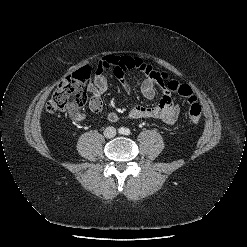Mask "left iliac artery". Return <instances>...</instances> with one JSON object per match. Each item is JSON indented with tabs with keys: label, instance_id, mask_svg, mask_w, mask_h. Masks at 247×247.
<instances>
[{
	"label": "left iliac artery",
	"instance_id": "left-iliac-artery-1",
	"mask_svg": "<svg viewBox=\"0 0 247 247\" xmlns=\"http://www.w3.org/2000/svg\"><path fill=\"white\" fill-rule=\"evenodd\" d=\"M131 132H130V130L129 129H125V131H124V134L125 135H129Z\"/></svg>",
	"mask_w": 247,
	"mask_h": 247
}]
</instances>
